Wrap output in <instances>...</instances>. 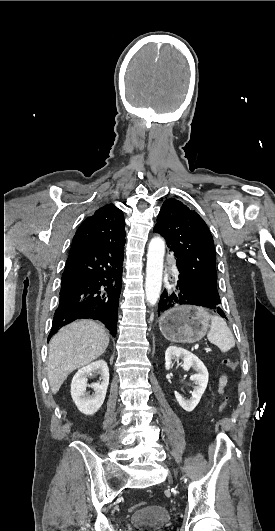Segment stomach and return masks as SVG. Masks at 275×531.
Segmentation results:
<instances>
[{
	"mask_svg": "<svg viewBox=\"0 0 275 531\" xmlns=\"http://www.w3.org/2000/svg\"><path fill=\"white\" fill-rule=\"evenodd\" d=\"M210 315L195 301H179L178 307L166 311L159 319V329L172 343H196L210 327Z\"/></svg>",
	"mask_w": 275,
	"mask_h": 531,
	"instance_id": "0dacf381",
	"label": "stomach"
}]
</instances>
